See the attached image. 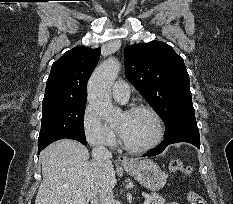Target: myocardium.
Segmentation results:
<instances>
[{
    "mask_svg": "<svg viewBox=\"0 0 233 204\" xmlns=\"http://www.w3.org/2000/svg\"><path fill=\"white\" fill-rule=\"evenodd\" d=\"M140 111L147 112L153 117L156 123L157 133H156L155 138L150 143L143 145V146H134V145H131L124 138L121 131L117 129L123 147L126 150L133 152V153H145V152H148L156 148L162 142L164 135H165V127H164L163 120L161 116L159 115V113L154 108L147 106V105H143V104H137V105H132L125 110L127 114L140 112Z\"/></svg>",
    "mask_w": 233,
    "mask_h": 204,
    "instance_id": "myocardium-1",
    "label": "myocardium"
}]
</instances>
